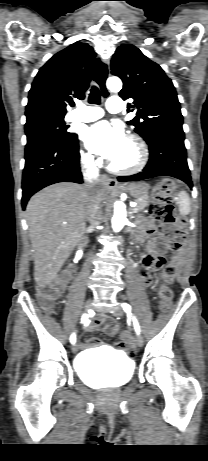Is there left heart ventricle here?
Returning <instances> with one entry per match:
<instances>
[{
    "label": "left heart ventricle",
    "instance_id": "obj_1",
    "mask_svg": "<svg viewBox=\"0 0 208 461\" xmlns=\"http://www.w3.org/2000/svg\"><path fill=\"white\" fill-rule=\"evenodd\" d=\"M137 161V151L134 146L126 140L122 151L116 156L112 162L119 167H130Z\"/></svg>",
    "mask_w": 208,
    "mask_h": 461
}]
</instances>
